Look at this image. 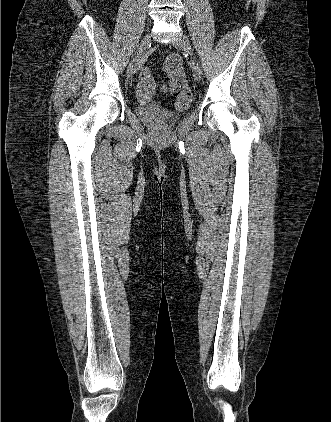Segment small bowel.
I'll list each match as a JSON object with an SVG mask.
<instances>
[{
    "label": "small bowel",
    "instance_id": "obj_1",
    "mask_svg": "<svg viewBox=\"0 0 331 422\" xmlns=\"http://www.w3.org/2000/svg\"><path fill=\"white\" fill-rule=\"evenodd\" d=\"M154 90V82L150 78L149 74L141 73V81L139 83L138 97L141 101L150 100Z\"/></svg>",
    "mask_w": 331,
    "mask_h": 422
}]
</instances>
